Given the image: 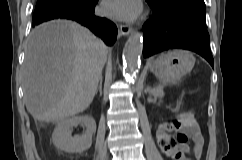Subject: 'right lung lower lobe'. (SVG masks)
<instances>
[{"mask_svg": "<svg viewBox=\"0 0 242 160\" xmlns=\"http://www.w3.org/2000/svg\"><path fill=\"white\" fill-rule=\"evenodd\" d=\"M97 1L67 2L55 0L37 6L33 14V26L52 19H71L99 35L107 45H112L116 40L118 30L114 23L94 14Z\"/></svg>", "mask_w": 242, "mask_h": 160, "instance_id": "98d812e1", "label": "right lung lower lobe"}]
</instances>
